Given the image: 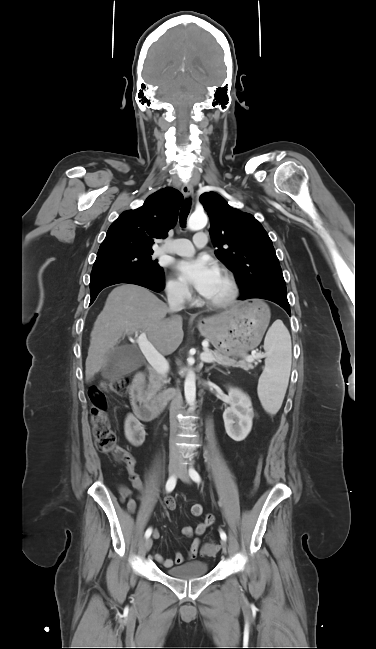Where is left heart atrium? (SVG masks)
Here are the masks:
<instances>
[{"label":"left heart atrium","mask_w":376,"mask_h":649,"mask_svg":"<svg viewBox=\"0 0 376 649\" xmlns=\"http://www.w3.org/2000/svg\"><path fill=\"white\" fill-rule=\"evenodd\" d=\"M181 281L194 287L205 296L211 289L219 271L213 260L207 257L181 260L176 265Z\"/></svg>","instance_id":"1"}]
</instances>
